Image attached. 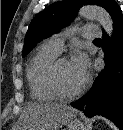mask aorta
Listing matches in <instances>:
<instances>
[{
  "mask_svg": "<svg viewBox=\"0 0 123 130\" xmlns=\"http://www.w3.org/2000/svg\"><path fill=\"white\" fill-rule=\"evenodd\" d=\"M79 15L86 19H94L99 22L109 37L113 33V20L109 13L102 7L87 5L80 9Z\"/></svg>",
  "mask_w": 123,
  "mask_h": 130,
  "instance_id": "aorta-1",
  "label": "aorta"
}]
</instances>
